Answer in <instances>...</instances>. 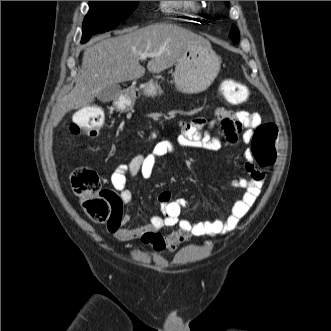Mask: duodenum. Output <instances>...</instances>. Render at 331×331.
Here are the masks:
<instances>
[{
  "mask_svg": "<svg viewBox=\"0 0 331 331\" xmlns=\"http://www.w3.org/2000/svg\"><path fill=\"white\" fill-rule=\"evenodd\" d=\"M131 93L134 95V96H139V90L137 88H133L131 90Z\"/></svg>",
  "mask_w": 331,
  "mask_h": 331,
  "instance_id": "410a0bca",
  "label": "duodenum"
}]
</instances>
